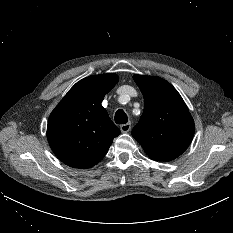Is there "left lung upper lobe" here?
Instances as JSON below:
<instances>
[{
	"instance_id": "5c2ea615",
	"label": "left lung upper lobe",
	"mask_w": 233,
	"mask_h": 233,
	"mask_svg": "<svg viewBox=\"0 0 233 233\" xmlns=\"http://www.w3.org/2000/svg\"><path fill=\"white\" fill-rule=\"evenodd\" d=\"M144 96V111L132 130L150 158L171 161L190 145L194 121L177 90L160 77L134 75Z\"/></svg>"
}]
</instances>
